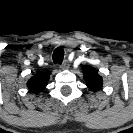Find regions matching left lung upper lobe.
<instances>
[{"instance_id": "left-lung-upper-lobe-1", "label": "left lung upper lobe", "mask_w": 133, "mask_h": 133, "mask_svg": "<svg viewBox=\"0 0 133 133\" xmlns=\"http://www.w3.org/2000/svg\"><path fill=\"white\" fill-rule=\"evenodd\" d=\"M82 72L86 81V85L91 91L96 92L102 89L103 79L97 73L95 68L85 65L82 67Z\"/></svg>"}]
</instances>
